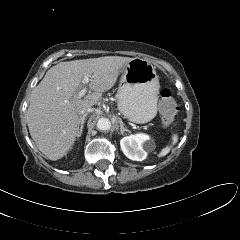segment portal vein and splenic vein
Here are the masks:
<instances>
[{
    "mask_svg": "<svg viewBox=\"0 0 240 240\" xmlns=\"http://www.w3.org/2000/svg\"><path fill=\"white\" fill-rule=\"evenodd\" d=\"M90 81V77L88 75L84 76L83 78V83L87 85ZM87 92V87H83L79 92H78V97H83Z\"/></svg>",
    "mask_w": 240,
    "mask_h": 240,
    "instance_id": "portal-vein-and-splenic-vein-1",
    "label": "portal vein and splenic vein"
}]
</instances>
